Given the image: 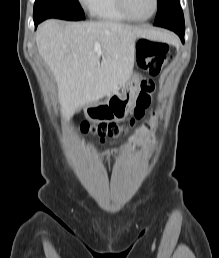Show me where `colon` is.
Returning <instances> with one entry per match:
<instances>
[{"label":"colon","mask_w":219,"mask_h":258,"mask_svg":"<svg viewBox=\"0 0 219 258\" xmlns=\"http://www.w3.org/2000/svg\"><path fill=\"white\" fill-rule=\"evenodd\" d=\"M137 53L139 65L151 75L159 74L170 59L169 46L167 44L149 39H141L138 42ZM154 91L155 83L153 80L147 79L141 83V91L137 97L134 111L135 119L143 117L146 108L151 103ZM80 129L84 133L94 134L104 143L106 141L114 142L119 136L124 134L127 127L115 122H103L95 125L84 122L81 124Z\"/></svg>","instance_id":"colon-1"}]
</instances>
